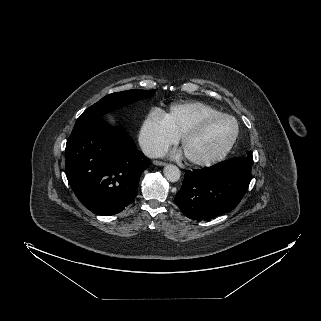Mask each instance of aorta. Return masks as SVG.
Masks as SVG:
<instances>
[{
  "label": "aorta",
  "instance_id": "aorta-1",
  "mask_svg": "<svg viewBox=\"0 0 321 321\" xmlns=\"http://www.w3.org/2000/svg\"><path fill=\"white\" fill-rule=\"evenodd\" d=\"M164 176L170 182H177L180 179L181 172L179 168L172 164H167L164 167Z\"/></svg>",
  "mask_w": 321,
  "mask_h": 321
}]
</instances>
